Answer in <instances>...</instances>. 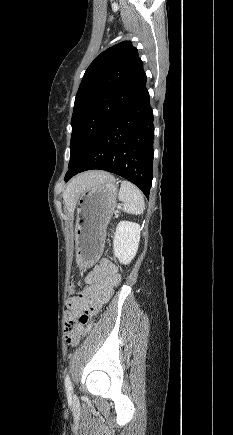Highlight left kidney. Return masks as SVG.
Listing matches in <instances>:
<instances>
[{
	"instance_id": "5707ae66",
	"label": "left kidney",
	"mask_w": 233,
	"mask_h": 435,
	"mask_svg": "<svg viewBox=\"0 0 233 435\" xmlns=\"http://www.w3.org/2000/svg\"><path fill=\"white\" fill-rule=\"evenodd\" d=\"M140 241V226L137 223L121 221L113 239L115 257L122 264H129L135 257Z\"/></svg>"
}]
</instances>
